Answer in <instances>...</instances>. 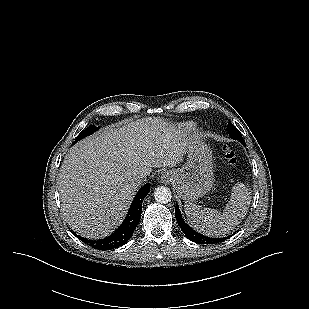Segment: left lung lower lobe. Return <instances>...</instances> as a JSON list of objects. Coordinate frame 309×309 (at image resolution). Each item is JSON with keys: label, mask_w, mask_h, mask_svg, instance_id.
I'll list each match as a JSON object with an SVG mask.
<instances>
[{"label": "left lung lower lobe", "mask_w": 309, "mask_h": 309, "mask_svg": "<svg viewBox=\"0 0 309 309\" xmlns=\"http://www.w3.org/2000/svg\"><path fill=\"white\" fill-rule=\"evenodd\" d=\"M243 145L245 144L244 140L240 141ZM175 216H176V220L181 228V230L183 231V233L185 234V236L193 241L196 242L198 244H215V243H220L223 242L224 240H226L228 237H223V238H211V237H207L204 236L198 232H196L195 230H193L189 225H187L185 223V221L183 220L182 216H181V212L179 210L178 205L176 204L175 207Z\"/></svg>", "instance_id": "obj_1"}]
</instances>
